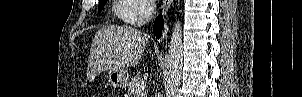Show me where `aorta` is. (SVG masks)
I'll use <instances>...</instances> for the list:
<instances>
[{
    "label": "aorta",
    "instance_id": "obj_1",
    "mask_svg": "<svg viewBox=\"0 0 302 97\" xmlns=\"http://www.w3.org/2000/svg\"><path fill=\"white\" fill-rule=\"evenodd\" d=\"M183 67L182 27L179 21L174 24L167 59L165 97H176Z\"/></svg>",
    "mask_w": 302,
    "mask_h": 97
}]
</instances>
